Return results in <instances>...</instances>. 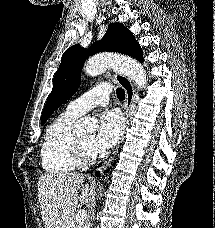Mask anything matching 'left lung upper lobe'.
I'll use <instances>...</instances> for the list:
<instances>
[{"label":"left lung upper lobe","instance_id":"left-lung-upper-lobe-1","mask_svg":"<svg viewBox=\"0 0 215 228\" xmlns=\"http://www.w3.org/2000/svg\"><path fill=\"white\" fill-rule=\"evenodd\" d=\"M103 51H114L132 56L143 62L142 50L133 34L122 24L109 25L104 37L88 49L79 44L68 48L62 56L59 69L55 73L53 89L42 112L41 124L78 89L82 67L89 56Z\"/></svg>","mask_w":215,"mask_h":228}]
</instances>
